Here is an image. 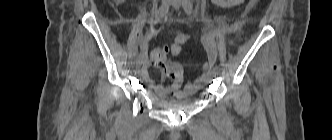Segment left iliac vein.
<instances>
[{
  "instance_id": "left-iliac-vein-1",
  "label": "left iliac vein",
  "mask_w": 332,
  "mask_h": 140,
  "mask_svg": "<svg viewBox=\"0 0 332 140\" xmlns=\"http://www.w3.org/2000/svg\"><path fill=\"white\" fill-rule=\"evenodd\" d=\"M171 4L175 9H179L181 6V0H171ZM218 70L214 69L213 70V75L216 76L218 75Z\"/></svg>"
}]
</instances>
